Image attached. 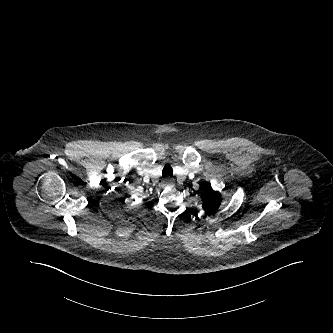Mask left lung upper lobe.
I'll use <instances>...</instances> for the list:
<instances>
[{
	"instance_id": "obj_1",
	"label": "left lung upper lobe",
	"mask_w": 333,
	"mask_h": 333,
	"mask_svg": "<svg viewBox=\"0 0 333 333\" xmlns=\"http://www.w3.org/2000/svg\"><path fill=\"white\" fill-rule=\"evenodd\" d=\"M201 199L202 207L207 214L214 213L221 205V194L214 191L209 184L202 186Z\"/></svg>"
}]
</instances>
